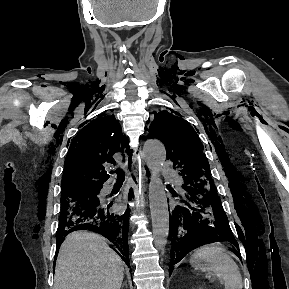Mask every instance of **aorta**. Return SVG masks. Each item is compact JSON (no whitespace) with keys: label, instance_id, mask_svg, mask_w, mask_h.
I'll list each match as a JSON object with an SVG mask.
<instances>
[{"label":"aorta","instance_id":"obj_1","mask_svg":"<svg viewBox=\"0 0 289 289\" xmlns=\"http://www.w3.org/2000/svg\"><path fill=\"white\" fill-rule=\"evenodd\" d=\"M143 157L150 170L149 203L154 245L163 251L169 234L168 203L160 177L166 160L165 146L158 140H147L143 146Z\"/></svg>","mask_w":289,"mask_h":289}]
</instances>
